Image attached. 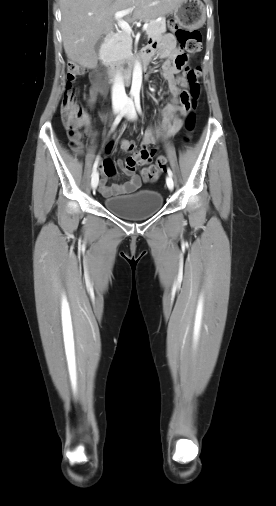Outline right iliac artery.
<instances>
[{
  "instance_id": "right-iliac-artery-1",
  "label": "right iliac artery",
  "mask_w": 276,
  "mask_h": 506,
  "mask_svg": "<svg viewBox=\"0 0 276 506\" xmlns=\"http://www.w3.org/2000/svg\"><path fill=\"white\" fill-rule=\"evenodd\" d=\"M132 100L129 99L125 109L115 118L114 120V123H113V127H112V130L115 129V127L119 124V122L121 121L122 117L124 116L125 112L127 111L128 109V105L129 103L131 102ZM98 161H99V156H97L96 158V161L93 165V173H92V176H95L96 175V170H97V165H98ZM98 180H99V176H98Z\"/></svg>"
}]
</instances>
